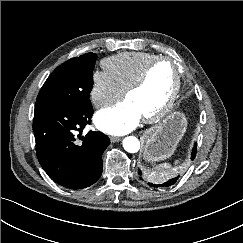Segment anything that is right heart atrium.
Segmentation results:
<instances>
[{
	"label": "right heart atrium",
	"instance_id": "1",
	"mask_svg": "<svg viewBox=\"0 0 243 243\" xmlns=\"http://www.w3.org/2000/svg\"><path fill=\"white\" fill-rule=\"evenodd\" d=\"M122 94L123 89L106 69L96 70L93 73L90 98L96 107H103Z\"/></svg>",
	"mask_w": 243,
	"mask_h": 243
}]
</instances>
